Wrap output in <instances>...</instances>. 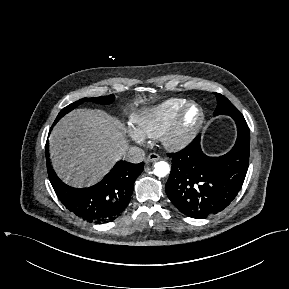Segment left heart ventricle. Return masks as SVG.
I'll return each instance as SVG.
<instances>
[{
	"mask_svg": "<svg viewBox=\"0 0 289 289\" xmlns=\"http://www.w3.org/2000/svg\"><path fill=\"white\" fill-rule=\"evenodd\" d=\"M196 116H197L196 108H191L188 112V115H187V122L189 124L192 123L195 120Z\"/></svg>",
	"mask_w": 289,
	"mask_h": 289,
	"instance_id": "1",
	"label": "left heart ventricle"
}]
</instances>
